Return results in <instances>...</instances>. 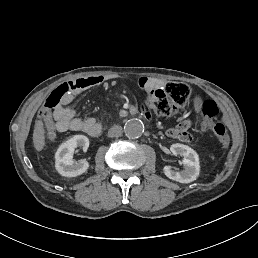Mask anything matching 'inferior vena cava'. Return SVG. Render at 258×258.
Listing matches in <instances>:
<instances>
[{"label":"inferior vena cava","mask_w":258,"mask_h":258,"mask_svg":"<svg viewBox=\"0 0 258 258\" xmlns=\"http://www.w3.org/2000/svg\"><path fill=\"white\" fill-rule=\"evenodd\" d=\"M122 134V127L119 125H114L108 131L109 137H118Z\"/></svg>","instance_id":"602c4592"}]
</instances>
